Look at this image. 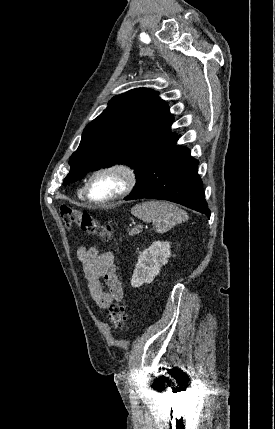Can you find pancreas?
Segmentation results:
<instances>
[{"instance_id": "obj_1", "label": "pancreas", "mask_w": 275, "mask_h": 429, "mask_svg": "<svg viewBox=\"0 0 275 429\" xmlns=\"http://www.w3.org/2000/svg\"><path fill=\"white\" fill-rule=\"evenodd\" d=\"M139 233H140V230L138 228H133L131 230H128V234L130 236H134V235L139 234Z\"/></svg>"}]
</instances>
